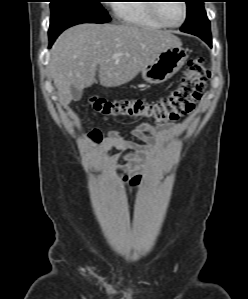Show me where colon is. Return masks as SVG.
Wrapping results in <instances>:
<instances>
[{
    "label": "colon",
    "mask_w": 248,
    "mask_h": 299,
    "mask_svg": "<svg viewBox=\"0 0 248 299\" xmlns=\"http://www.w3.org/2000/svg\"><path fill=\"white\" fill-rule=\"evenodd\" d=\"M209 78V68L202 58L197 57L188 62L179 85L167 96L156 102L142 100L109 101L101 97H92L90 104L98 114L105 118L146 119L153 123L177 121L192 112ZM139 177H134L133 183H136Z\"/></svg>",
    "instance_id": "5ec220e1"
}]
</instances>
